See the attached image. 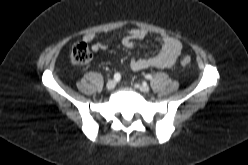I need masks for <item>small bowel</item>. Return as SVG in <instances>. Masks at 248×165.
Segmentation results:
<instances>
[{"label":"small bowel","mask_w":248,"mask_h":165,"mask_svg":"<svg viewBox=\"0 0 248 165\" xmlns=\"http://www.w3.org/2000/svg\"><path fill=\"white\" fill-rule=\"evenodd\" d=\"M149 32L143 28H134L124 33L122 44L127 48H133L145 39ZM96 35L88 33L83 37V41L92 43L94 51L106 50L108 44L102 41H95ZM157 41L160 44V49L157 53L151 56L132 58L130 67L134 71H141L148 68H169L171 67L181 54V42L168 35H157Z\"/></svg>","instance_id":"small-bowel-1"}]
</instances>
